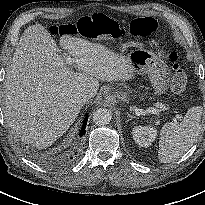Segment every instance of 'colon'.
Segmentation results:
<instances>
[{"instance_id": "1", "label": "colon", "mask_w": 205, "mask_h": 205, "mask_svg": "<svg viewBox=\"0 0 205 205\" xmlns=\"http://www.w3.org/2000/svg\"><path fill=\"white\" fill-rule=\"evenodd\" d=\"M159 28L158 22L153 17H141L134 19L130 24L131 33L139 37H150ZM117 31L114 24L104 14H92L83 18L78 25L68 23L53 25L50 32L54 36L63 37L66 35H81L87 39H106L114 35ZM168 60L172 66L173 75L171 78V89L176 94H181L187 85V76L179 63V54L171 51Z\"/></svg>"}]
</instances>
